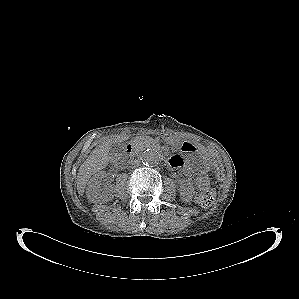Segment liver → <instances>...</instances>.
<instances>
[{
  "instance_id": "6515ba94",
  "label": "liver",
  "mask_w": 299,
  "mask_h": 299,
  "mask_svg": "<svg viewBox=\"0 0 299 299\" xmlns=\"http://www.w3.org/2000/svg\"><path fill=\"white\" fill-rule=\"evenodd\" d=\"M129 136L125 135H112L109 137L103 138L101 144H99L87 159L80 166L78 175H77V190L80 195H82L85 191V187L89 179L104 169L111 158L118 154L112 155L110 152L111 146L116 143H121L127 140Z\"/></svg>"
}]
</instances>
